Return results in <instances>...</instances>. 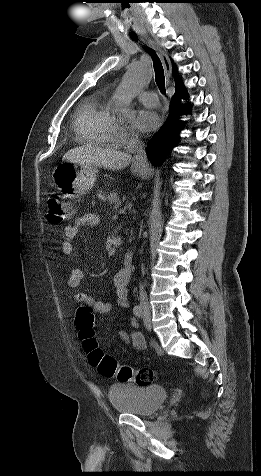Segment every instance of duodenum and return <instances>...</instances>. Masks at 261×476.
<instances>
[{"mask_svg": "<svg viewBox=\"0 0 261 476\" xmlns=\"http://www.w3.org/2000/svg\"><path fill=\"white\" fill-rule=\"evenodd\" d=\"M133 261H134L133 254L131 252H127L124 255V261H123L124 269L123 270L128 276H130L133 271Z\"/></svg>", "mask_w": 261, "mask_h": 476, "instance_id": "410a0bca", "label": "duodenum"}]
</instances>
